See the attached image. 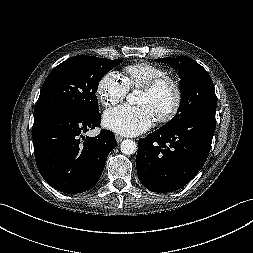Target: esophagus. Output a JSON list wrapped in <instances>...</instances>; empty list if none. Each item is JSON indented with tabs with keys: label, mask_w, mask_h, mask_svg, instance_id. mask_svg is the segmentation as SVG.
<instances>
[{
	"label": "esophagus",
	"mask_w": 253,
	"mask_h": 253,
	"mask_svg": "<svg viewBox=\"0 0 253 253\" xmlns=\"http://www.w3.org/2000/svg\"><path fill=\"white\" fill-rule=\"evenodd\" d=\"M116 141L117 143H120L123 140V137H121L120 135H116Z\"/></svg>",
	"instance_id": "1"
}]
</instances>
